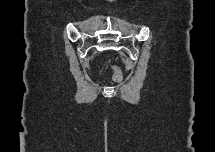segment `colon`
<instances>
[{"mask_svg": "<svg viewBox=\"0 0 215 152\" xmlns=\"http://www.w3.org/2000/svg\"><path fill=\"white\" fill-rule=\"evenodd\" d=\"M111 70H112V79L115 82H119L122 79V74H121L120 68L117 66H112Z\"/></svg>", "mask_w": 215, "mask_h": 152, "instance_id": "obj_1", "label": "colon"}]
</instances>
